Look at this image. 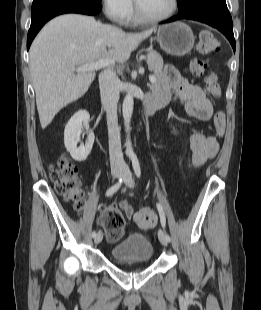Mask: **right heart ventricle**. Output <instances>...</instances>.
Listing matches in <instances>:
<instances>
[{"label": "right heart ventricle", "mask_w": 261, "mask_h": 310, "mask_svg": "<svg viewBox=\"0 0 261 310\" xmlns=\"http://www.w3.org/2000/svg\"><path fill=\"white\" fill-rule=\"evenodd\" d=\"M137 22V19L135 18V16L132 15L130 16L129 20L127 21V23H130V24H135Z\"/></svg>", "instance_id": "obj_1"}]
</instances>
